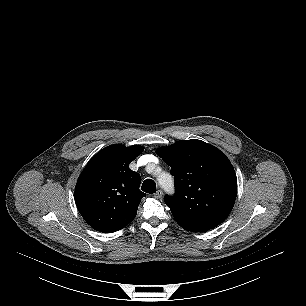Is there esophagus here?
Masks as SVG:
<instances>
[{
    "label": "esophagus",
    "instance_id": "34e87169",
    "mask_svg": "<svg viewBox=\"0 0 306 306\" xmlns=\"http://www.w3.org/2000/svg\"><path fill=\"white\" fill-rule=\"evenodd\" d=\"M163 195L162 190H157V192L154 194L155 198H161Z\"/></svg>",
    "mask_w": 306,
    "mask_h": 306
}]
</instances>
